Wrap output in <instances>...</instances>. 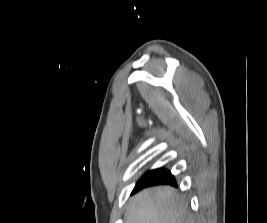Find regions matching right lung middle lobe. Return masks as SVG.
I'll list each match as a JSON object with an SVG mask.
<instances>
[{
    "instance_id": "obj_1",
    "label": "right lung middle lobe",
    "mask_w": 267,
    "mask_h": 223,
    "mask_svg": "<svg viewBox=\"0 0 267 223\" xmlns=\"http://www.w3.org/2000/svg\"><path fill=\"white\" fill-rule=\"evenodd\" d=\"M154 171H159V172H162V173H170L166 169H157V170H154Z\"/></svg>"
}]
</instances>
